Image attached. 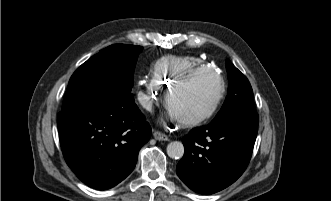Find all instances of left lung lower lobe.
<instances>
[{
    "label": "left lung lower lobe",
    "mask_w": 331,
    "mask_h": 201,
    "mask_svg": "<svg viewBox=\"0 0 331 201\" xmlns=\"http://www.w3.org/2000/svg\"><path fill=\"white\" fill-rule=\"evenodd\" d=\"M257 132V114L225 117L192 129L183 137L185 153L177 175L200 194L228 187L245 171Z\"/></svg>",
    "instance_id": "1"
}]
</instances>
